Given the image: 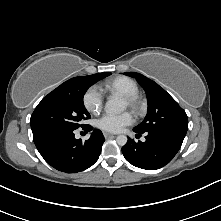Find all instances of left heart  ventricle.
Wrapping results in <instances>:
<instances>
[{"mask_svg": "<svg viewBox=\"0 0 221 221\" xmlns=\"http://www.w3.org/2000/svg\"><path fill=\"white\" fill-rule=\"evenodd\" d=\"M124 106H127L126 102L124 101Z\"/></svg>", "mask_w": 221, "mask_h": 221, "instance_id": "1", "label": "left heart ventricle"}]
</instances>
